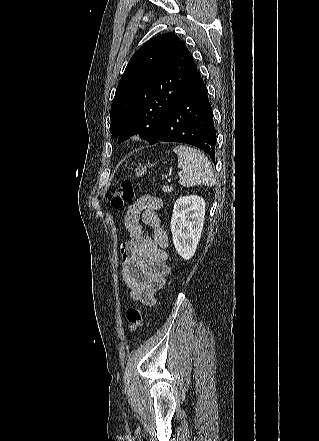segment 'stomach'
Wrapping results in <instances>:
<instances>
[{"mask_svg": "<svg viewBox=\"0 0 319 441\" xmlns=\"http://www.w3.org/2000/svg\"><path fill=\"white\" fill-rule=\"evenodd\" d=\"M146 167H142V168H140V167H137L136 169H135V175L137 176V177H140V176H142V175H144L145 173H146Z\"/></svg>", "mask_w": 319, "mask_h": 441, "instance_id": "stomach-1", "label": "stomach"}]
</instances>
